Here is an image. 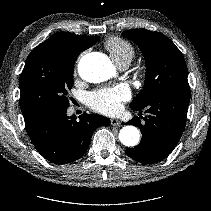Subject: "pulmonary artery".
I'll list each match as a JSON object with an SVG mask.
<instances>
[{
    "mask_svg": "<svg viewBox=\"0 0 211 211\" xmlns=\"http://www.w3.org/2000/svg\"><path fill=\"white\" fill-rule=\"evenodd\" d=\"M126 67H127L126 65L120 66L121 69H124V68H126Z\"/></svg>",
    "mask_w": 211,
    "mask_h": 211,
    "instance_id": "obj_1",
    "label": "pulmonary artery"
}]
</instances>
